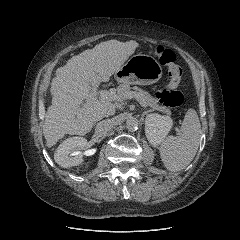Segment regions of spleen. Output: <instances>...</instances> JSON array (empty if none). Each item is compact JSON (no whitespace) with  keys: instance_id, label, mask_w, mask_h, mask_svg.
<instances>
[{"instance_id":"obj_1","label":"spleen","mask_w":240,"mask_h":240,"mask_svg":"<svg viewBox=\"0 0 240 240\" xmlns=\"http://www.w3.org/2000/svg\"><path fill=\"white\" fill-rule=\"evenodd\" d=\"M201 138V124L194 109H189L182 123L181 134L169 136L162 142L161 159L171 172L185 169L194 159Z\"/></svg>"}]
</instances>
